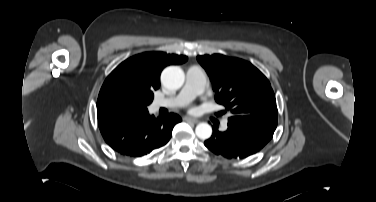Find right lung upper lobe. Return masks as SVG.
<instances>
[{
    "mask_svg": "<svg viewBox=\"0 0 376 202\" xmlns=\"http://www.w3.org/2000/svg\"><path fill=\"white\" fill-rule=\"evenodd\" d=\"M183 55H170L164 52H149L135 55L122 62L106 78L97 101L98 125L104 126L123 118L139 114H129L113 108L108 95L121 84H132L144 89L156 90L160 87V74L170 64H182L187 61Z\"/></svg>",
    "mask_w": 376,
    "mask_h": 202,
    "instance_id": "right-lung-upper-lobe-1",
    "label": "right lung upper lobe"
}]
</instances>
